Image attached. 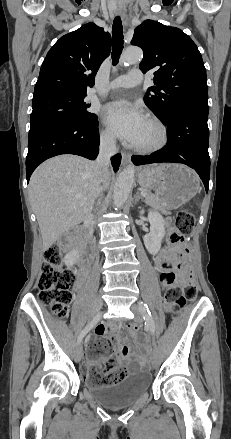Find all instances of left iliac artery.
I'll return each mask as SVG.
<instances>
[{
	"instance_id": "44dca946",
	"label": "left iliac artery",
	"mask_w": 231,
	"mask_h": 439,
	"mask_svg": "<svg viewBox=\"0 0 231 439\" xmlns=\"http://www.w3.org/2000/svg\"><path fill=\"white\" fill-rule=\"evenodd\" d=\"M139 305L143 308L144 310V320H145V326L147 329L150 330V332L154 335L155 332V328H154V322L151 316V312L148 308V305L140 302Z\"/></svg>"
}]
</instances>
